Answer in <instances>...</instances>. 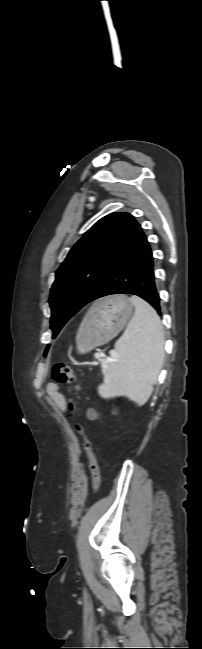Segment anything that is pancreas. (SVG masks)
<instances>
[{
	"label": "pancreas",
	"mask_w": 202,
	"mask_h": 649,
	"mask_svg": "<svg viewBox=\"0 0 202 649\" xmlns=\"http://www.w3.org/2000/svg\"><path fill=\"white\" fill-rule=\"evenodd\" d=\"M99 360H100V361L102 362V364H103V363H104V361H105V360H103V359H101L100 357H99Z\"/></svg>",
	"instance_id": "pancreas-1"
}]
</instances>
